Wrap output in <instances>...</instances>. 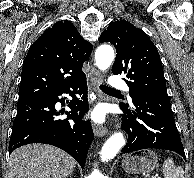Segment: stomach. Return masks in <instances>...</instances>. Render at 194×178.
Returning <instances> with one entry per match:
<instances>
[{
	"label": "stomach",
	"mask_w": 194,
	"mask_h": 178,
	"mask_svg": "<svg viewBox=\"0 0 194 178\" xmlns=\"http://www.w3.org/2000/svg\"><path fill=\"white\" fill-rule=\"evenodd\" d=\"M158 157L152 150H142L123 157L122 167L127 173H150L157 166Z\"/></svg>",
	"instance_id": "0dacf381"
}]
</instances>
